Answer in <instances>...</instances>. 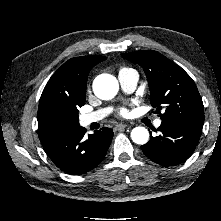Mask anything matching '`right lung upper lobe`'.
I'll use <instances>...</instances> for the list:
<instances>
[{
    "label": "right lung upper lobe",
    "instance_id": "obj_1",
    "mask_svg": "<svg viewBox=\"0 0 221 221\" xmlns=\"http://www.w3.org/2000/svg\"><path fill=\"white\" fill-rule=\"evenodd\" d=\"M105 59L97 55L72 58L50 78L42 92L37 114L38 136L44 148L80 127L60 120L58 112L85 104L88 74Z\"/></svg>",
    "mask_w": 221,
    "mask_h": 221
}]
</instances>
